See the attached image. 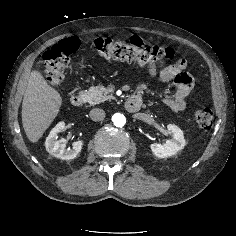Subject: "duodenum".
Wrapping results in <instances>:
<instances>
[{"label":"duodenum","mask_w":236,"mask_h":236,"mask_svg":"<svg viewBox=\"0 0 236 236\" xmlns=\"http://www.w3.org/2000/svg\"><path fill=\"white\" fill-rule=\"evenodd\" d=\"M70 103L74 107L81 106L83 104V96L78 94L71 96ZM141 105V97L137 95L130 96L125 102V108L129 112H137L141 108Z\"/></svg>","instance_id":"duodenum-1"}]
</instances>
